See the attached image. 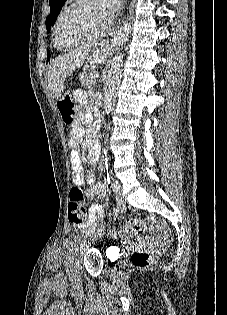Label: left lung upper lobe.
<instances>
[{"mask_svg":"<svg viewBox=\"0 0 227 315\" xmlns=\"http://www.w3.org/2000/svg\"><path fill=\"white\" fill-rule=\"evenodd\" d=\"M66 0H49L50 5V14L46 19V29L47 32H50L51 27L54 25V22L56 20V17L60 13L64 3ZM50 59V53L48 51V60Z\"/></svg>","mask_w":227,"mask_h":315,"instance_id":"5c2ea615","label":"left lung upper lobe"}]
</instances>
